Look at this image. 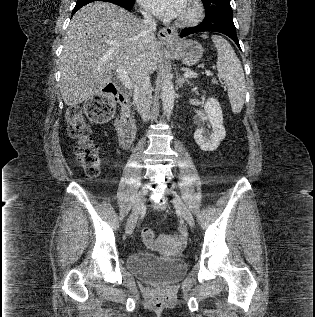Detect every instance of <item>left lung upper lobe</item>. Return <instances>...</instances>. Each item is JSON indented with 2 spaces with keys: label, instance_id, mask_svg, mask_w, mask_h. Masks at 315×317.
Returning a JSON list of instances; mask_svg holds the SVG:
<instances>
[{
  "label": "left lung upper lobe",
  "instance_id": "5c2ea615",
  "mask_svg": "<svg viewBox=\"0 0 315 317\" xmlns=\"http://www.w3.org/2000/svg\"><path fill=\"white\" fill-rule=\"evenodd\" d=\"M205 9V19L217 21L223 18H233L230 0H202Z\"/></svg>",
  "mask_w": 315,
  "mask_h": 317
}]
</instances>
